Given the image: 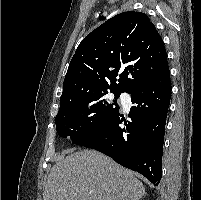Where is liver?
I'll list each match as a JSON object with an SVG mask.
<instances>
[{
    "label": "liver",
    "mask_w": 201,
    "mask_h": 200,
    "mask_svg": "<svg viewBox=\"0 0 201 200\" xmlns=\"http://www.w3.org/2000/svg\"><path fill=\"white\" fill-rule=\"evenodd\" d=\"M144 185L109 157L78 151L57 162L45 186L44 200H140Z\"/></svg>",
    "instance_id": "6515ba94"
}]
</instances>
